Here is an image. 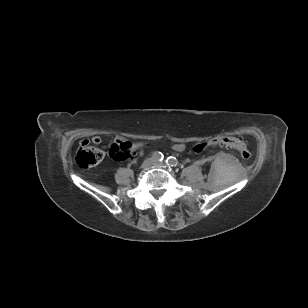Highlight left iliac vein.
<instances>
[{"label": "left iliac vein", "instance_id": "4c4485c4", "mask_svg": "<svg viewBox=\"0 0 308 308\" xmlns=\"http://www.w3.org/2000/svg\"><path fill=\"white\" fill-rule=\"evenodd\" d=\"M164 163L163 162H158V161H154L153 162V165L156 166V167H160L162 166Z\"/></svg>", "mask_w": 308, "mask_h": 308}]
</instances>
